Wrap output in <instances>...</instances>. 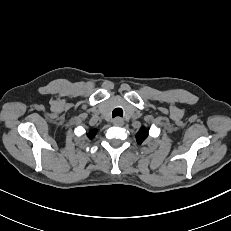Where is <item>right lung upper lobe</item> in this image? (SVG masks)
<instances>
[{
	"instance_id": "cb5924a9",
	"label": "right lung upper lobe",
	"mask_w": 231,
	"mask_h": 231,
	"mask_svg": "<svg viewBox=\"0 0 231 231\" xmlns=\"http://www.w3.org/2000/svg\"><path fill=\"white\" fill-rule=\"evenodd\" d=\"M96 132H97L96 130L90 131L89 134H88V137H89L90 139H92V138L95 136Z\"/></svg>"
}]
</instances>
